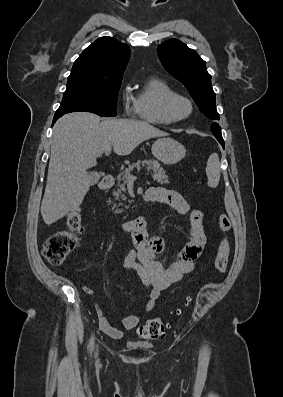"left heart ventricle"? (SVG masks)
<instances>
[{
    "label": "left heart ventricle",
    "instance_id": "b2bd125f",
    "mask_svg": "<svg viewBox=\"0 0 283 397\" xmlns=\"http://www.w3.org/2000/svg\"><path fill=\"white\" fill-rule=\"evenodd\" d=\"M176 111L178 114H184L187 111V106L184 103H178L176 105Z\"/></svg>",
    "mask_w": 283,
    "mask_h": 397
}]
</instances>
